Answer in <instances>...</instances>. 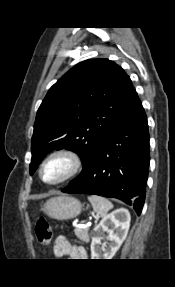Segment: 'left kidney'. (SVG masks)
<instances>
[{
	"label": "left kidney",
	"instance_id": "5707ae66",
	"mask_svg": "<svg viewBox=\"0 0 175 287\" xmlns=\"http://www.w3.org/2000/svg\"><path fill=\"white\" fill-rule=\"evenodd\" d=\"M130 219V213L124 208L117 209L103 217L93 230L92 259H112L128 234ZM108 240L110 243L107 245Z\"/></svg>",
	"mask_w": 175,
	"mask_h": 287
}]
</instances>
